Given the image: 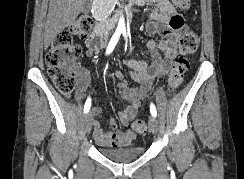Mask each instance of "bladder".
Here are the masks:
<instances>
[{
  "instance_id": "obj_1",
  "label": "bladder",
  "mask_w": 244,
  "mask_h": 179,
  "mask_svg": "<svg viewBox=\"0 0 244 179\" xmlns=\"http://www.w3.org/2000/svg\"><path fill=\"white\" fill-rule=\"evenodd\" d=\"M144 151H145L144 147H138L137 145L127 146L126 148H122L118 150L100 148V153L104 157H109L117 161H128V160L140 158L143 155Z\"/></svg>"
}]
</instances>
